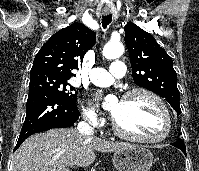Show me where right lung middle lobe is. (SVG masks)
I'll return each instance as SVG.
<instances>
[{"label":"right lung middle lobe","mask_w":199,"mask_h":171,"mask_svg":"<svg viewBox=\"0 0 199 171\" xmlns=\"http://www.w3.org/2000/svg\"><path fill=\"white\" fill-rule=\"evenodd\" d=\"M68 80L52 75L32 76L30 77L29 93L38 90H47L76 106L77 92H73L75 89L69 84Z\"/></svg>","instance_id":"right-lung-middle-lobe-1"}]
</instances>
